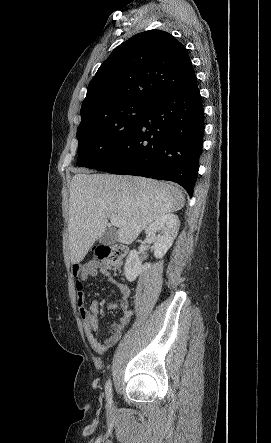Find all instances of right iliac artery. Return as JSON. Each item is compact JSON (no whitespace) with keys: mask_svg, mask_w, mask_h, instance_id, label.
<instances>
[{"mask_svg":"<svg viewBox=\"0 0 271 443\" xmlns=\"http://www.w3.org/2000/svg\"><path fill=\"white\" fill-rule=\"evenodd\" d=\"M105 393L108 404L112 403V383L110 380L107 381L105 386Z\"/></svg>","mask_w":271,"mask_h":443,"instance_id":"1","label":"right iliac artery"}]
</instances>
